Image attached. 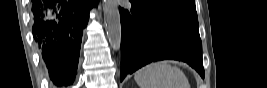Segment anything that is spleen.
I'll return each mask as SVG.
<instances>
[{"mask_svg":"<svg viewBox=\"0 0 267 88\" xmlns=\"http://www.w3.org/2000/svg\"><path fill=\"white\" fill-rule=\"evenodd\" d=\"M134 79L140 88H190L183 71L167 61H159L139 69Z\"/></svg>","mask_w":267,"mask_h":88,"instance_id":"3e777b00","label":"spleen"}]
</instances>
